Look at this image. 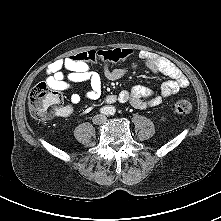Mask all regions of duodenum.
Masks as SVG:
<instances>
[{
    "mask_svg": "<svg viewBox=\"0 0 221 221\" xmlns=\"http://www.w3.org/2000/svg\"><path fill=\"white\" fill-rule=\"evenodd\" d=\"M106 101H107L108 103H113V102L115 101V98H114L113 96H110V97H108V98L106 99Z\"/></svg>",
    "mask_w": 221,
    "mask_h": 221,
    "instance_id": "410a0bca",
    "label": "duodenum"
}]
</instances>
